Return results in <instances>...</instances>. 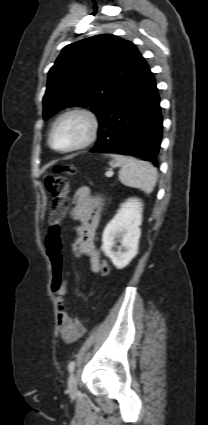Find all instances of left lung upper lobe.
<instances>
[{
    "instance_id": "1",
    "label": "left lung upper lobe",
    "mask_w": 208,
    "mask_h": 425,
    "mask_svg": "<svg viewBox=\"0 0 208 425\" xmlns=\"http://www.w3.org/2000/svg\"><path fill=\"white\" fill-rule=\"evenodd\" d=\"M144 62L134 44L111 34L67 45L48 73L43 117L82 106L89 107L99 118Z\"/></svg>"
}]
</instances>
